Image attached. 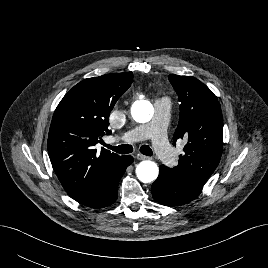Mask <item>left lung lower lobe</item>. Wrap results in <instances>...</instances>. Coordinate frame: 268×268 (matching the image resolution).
<instances>
[{"instance_id":"1","label":"left lung lower lobe","mask_w":268,"mask_h":268,"mask_svg":"<svg viewBox=\"0 0 268 268\" xmlns=\"http://www.w3.org/2000/svg\"><path fill=\"white\" fill-rule=\"evenodd\" d=\"M151 193L155 201L167 205L186 204L200 194L173 181L163 165L160 166L159 176L151 186Z\"/></svg>"}]
</instances>
